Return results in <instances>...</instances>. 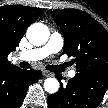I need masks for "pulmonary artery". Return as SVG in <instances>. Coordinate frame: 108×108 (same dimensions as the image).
Returning a JSON list of instances; mask_svg holds the SVG:
<instances>
[{
  "label": "pulmonary artery",
  "mask_w": 108,
  "mask_h": 108,
  "mask_svg": "<svg viewBox=\"0 0 108 108\" xmlns=\"http://www.w3.org/2000/svg\"><path fill=\"white\" fill-rule=\"evenodd\" d=\"M63 47V38L59 33H53L46 45L40 48L32 49L27 52H23L19 55V58L28 61H38L45 57L58 53ZM76 75L75 70H70L68 76L73 78Z\"/></svg>",
  "instance_id": "obj_1"
}]
</instances>
